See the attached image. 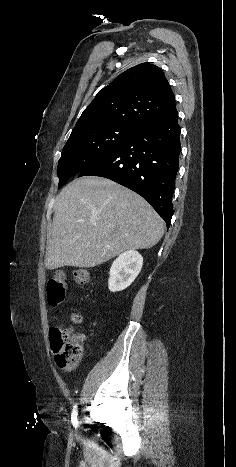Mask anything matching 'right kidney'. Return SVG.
<instances>
[{
    "mask_svg": "<svg viewBox=\"0 0 236 467\" xmlns=\"http://www.w3.org/2000/svg\"><path fill=\"white\" fill-rule=\"evenodd\" d=\"M143 258L135 250H128L114 260L108 280L109 290L122 291L135 280L142 269Z\"/></svg>",
    "mask_w": 236,
    "mask_h": 467,
    "instance_id": "right-kidney-1",
    "label": "right kidney"
}]
</instances>
